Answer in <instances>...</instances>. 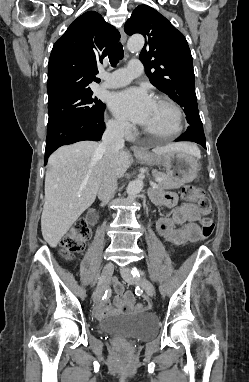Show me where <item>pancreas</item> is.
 <instances>
[{
    "mask_svg": "<svg viewBox=\"0 0 249 382\" xmlns=\"http://www.w3.org/2000/svg\"><path fill=\"white\" fill-rule=\"evenodd\" d=\"M152 174L156 178H162L163 180L158 182V190H164V189H178L180 188L184 183L178 178L171 177L169 175H166L163 172L154 170Z\"/></svg>",
    "mask_w": 249,
    "mask_h": 382,
    "instance_id": "1",
    "label": "pancreas"
}]
</instances>
